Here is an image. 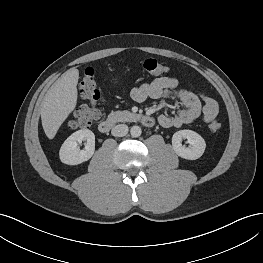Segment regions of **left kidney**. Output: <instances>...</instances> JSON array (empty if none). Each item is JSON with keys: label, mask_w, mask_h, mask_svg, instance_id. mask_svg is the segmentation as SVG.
Masks as SVG:
<instances>
[{"label": "left kidney", "mask_w": 263, "mask_h": 263, "mask_svg": "<svg viewBox=\"0 0 263 263\" xmlns=\"http://www.w3.org/2000/svg\"><path fill=\"white\" fill-rule=\"evenodd\" d=\"M182 139H187L189 147L182 145ZM172 147L175 153L181 158L196 160L200 158L206 148L205 140L192 130H180L172 137Z\"/></svg>", "instance_id": "left-kidney-1"}]
</instances>
